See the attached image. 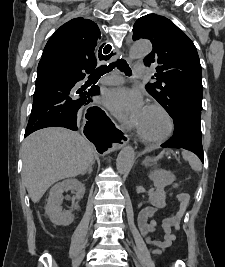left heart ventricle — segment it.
Listing matches in <instances>:
<instances>
[{
  "label": "left heart ventricle",
  "mask_w": 225,
  "mask_h": 267,
  "mask_svg": "<svg viewBox=\"0 0 225 267\" xmlns=\"http://www.w3.org/2000/svg\"><path fill=\"white\" fill-rule=\"evenodd\" d=\"M137 128L148 138L156 139L167 133L169 124L162 112L146 107Z\"/></svg>",
  "instance_id": "1"
}]
</instances>
